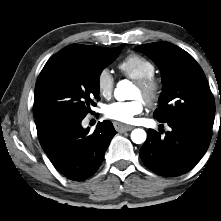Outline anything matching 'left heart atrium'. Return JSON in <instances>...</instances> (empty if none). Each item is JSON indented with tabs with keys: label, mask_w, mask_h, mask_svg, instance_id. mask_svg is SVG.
<instances>
[{
	"label": "left heart atrium",
	"mask_w": 221,
	"mask_h": 221,
	"mask_svg": "<svg viewBox=\"0 0 221 221\" xmlns=\"http://www.w3.org/2000/svg\"><path fill=\"white\" fill-rule=\"evenodd\" d=\"M144 105L139 98L131 101H117L105 107V115L113 120L131 123L134 118L143 112Z\"/></svg>",
	"instance_id": "1"
}]
</instances>
